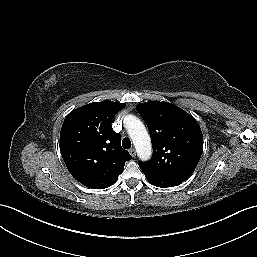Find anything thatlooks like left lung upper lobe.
<instances>
[{
	"mask_svg": "<svg viewBox=\"0 0 257 257\" xmlns=\"http://www.w3.org/2000/svg\"><path fill=\"white\" fill-rule=\"evenodd\" d=\"M153 146V156L139 167L149 180L184 181L194 172L203 151V135L193 116L178 106L159 101L139 104Z\"/></svg>",
	"mask_w": 257,
	"mask_h": 257,
	"instance_id": "left-lung-upper-lobe-1",
	"label": "left lung upper lobe"
}]
</instances>
